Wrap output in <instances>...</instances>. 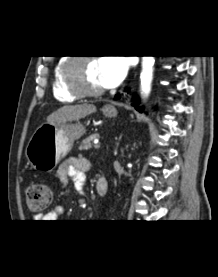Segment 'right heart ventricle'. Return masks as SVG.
<instances>
[{"mask_svg": "<svg viewBox=\"0 0 218 277\" xmlns=\"http://www.w3.org/2000/svg\"><path fill=\"white\" fill-rule=\"evenodd\" d=\"M65 60L60 59L54 66L52 72V93L56 100L69 103L77 99V97L67 91L64 85V80L62 77V66Z\"/></svg>", "mask_w": 218, "mask_h": 277, "instance_id": "1", "label": "right heart ventricle"}]
</instances>
